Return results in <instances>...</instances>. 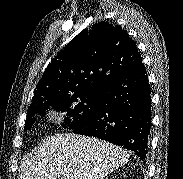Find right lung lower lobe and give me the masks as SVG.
Masks as SVG:
<instances>
[{"label":"right lung lower lobe","mask_w":183,"mask_h":179,"mask_svg":"<svg viewBox=\"0 0 183 179\" xmlns=\"http://www.w3.org/2000/svg\"><path fill=\"white\" fill-rule=\"evenodd\" d=\"M97 113L73 130L128 150L145 161L151 130V89L144 65L108 85L99 94Z\"/></svg>","instance_id":"right-lung-lower-lobe-1"}]
</instances>
